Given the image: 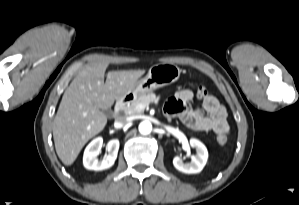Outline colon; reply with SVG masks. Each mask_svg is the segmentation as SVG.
I'll return each mask as SVG.
<instances>
[{"label":"colon","instance_id":"5ec220e1","mask_svg":"<svg viewBox=\"0 0 299 205\" xmlns=\"http://www.w3.org/2000/svg\"><path fill=\"white\" fill-rule=\"evenodd\" d=\"M208 95V91L206 89V87L204 86H199L197 88V96L198 98H204ZM217 142L220 145H225L228 142V135L227 133H220L217 135Z\"/></svg>","mask_w":299,"mask_h":205}]
</instances>
